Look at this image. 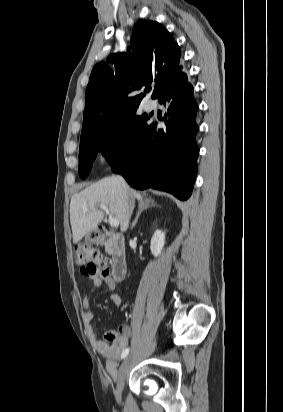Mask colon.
Returning a JSON list of instances; mask_svg holds the SVG:
<instances>
[{"label":"colon","mask_w":283,"mask_h":412,"mask_svg":"<svg viewBox=\"0 0 283 412\" xmlns=\"http://www.w3.org/2000/svg\"><path fill=\"white\" fill-rule=\"evenodd\" d=\"M74 254L75 261L81 266L83 274L108 276L109 269L97 248L78 246L75 248ZM104 338L108 342L115 343L118 340V334L113 331H106Z\"/></svg>","instance_id":"1"}]
</instances>
